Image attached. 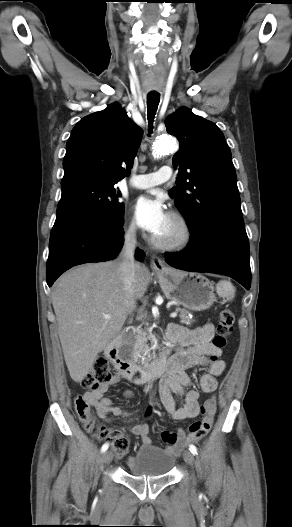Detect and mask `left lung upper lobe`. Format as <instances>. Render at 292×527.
Returning a JSON list of instances; mask_svg holds the SVG:
<instances>
[{"instance_id": "left-lung-upper-lobe-1", "label": "left lung upper lobe", "mask_w": 292, "mask_h": 527, "mask_svg": "<svg viewBox=\"0 0 292 527\" xmlns=\"http://www.w3.org/2000/svg\"><path fill=\"white\" fill-rule=\"evenodd\" d=\"M165 125L180 143L172 159L179 168L177 186L170 195L190 233L215 224H244L231 151L221 130L185 107Z\"/></svg>"}]
</instances>
